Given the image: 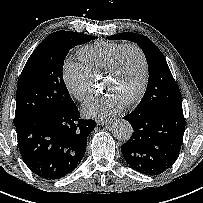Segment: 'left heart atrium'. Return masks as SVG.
<instances>
[{"label": "left heart atrium", "instance_id": "39dd6f15", "mask_svg": "<svg viewBox=\"0 0 203 203\" xmlns=\"http://www.w3.org/2000/svg\"><path fill=\"white\" fill-rule=\"evenodd\" d=\"M124 102L112 95L91 98L83 107V114L90 117L107 118L117 114Z\"/></svg>", "mask_w": 203, "mask_h": 203}]
</instances>
